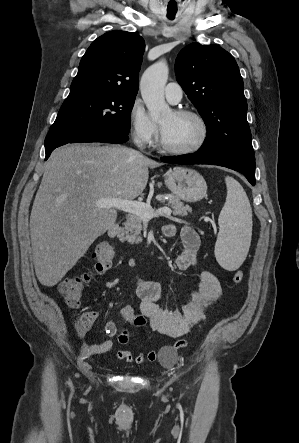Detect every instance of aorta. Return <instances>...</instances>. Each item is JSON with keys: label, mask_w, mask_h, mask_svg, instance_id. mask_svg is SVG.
I'll list each match as a JSON object with an SVG mask.
<instances>
[{"label": "aorta", "mask_w": 299, "mask_h": 443, "mask_svg": "<svg viewBox=\"0 0 299 443\" xmlns=\"http://www.w3.org/2000/svg\"><path fill=\"white\" fill-rule=\"evenodd\" d=\"M168 73V65L162 59L150 66L141 78V95L153 120H159L171 114V109L164 99Z\"/></svg>", "instance_id": "aorta-1"}]
</instances>
